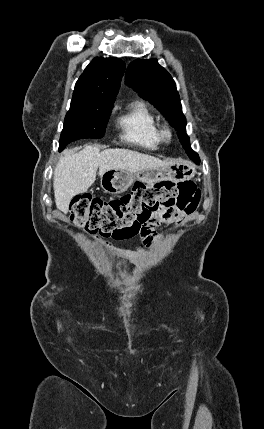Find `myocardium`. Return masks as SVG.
I'll use <instances>...</instances> for the list:
<instances>
[{
	"label": "myocardium",
	"instance_id": "obj_1",
	"mask_svg": "<svg viewBox=\"0 0 264 429\" xmlns=\"http://www.w3.org/2000/svg\"><path fill=\"white\" fill-rule=\"evenodd\" d=\"M172 136V130L168 126H164L160 129V137L163 141H170Z\"/></svg>",
	"mask_w": 264,
	"mask_h": 429
}]
</instances>
